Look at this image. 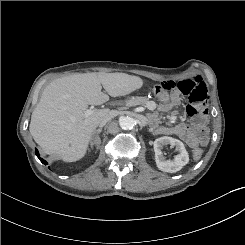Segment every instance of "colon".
Here are the masks:
<instances>
[{
  "mask_svg": "<svg viewBox=\"0 0 245 245\" xmlns=\"http://www.w3.org/2000/svg\"><path fill=\"white\" fill-rule=\"evenodd\" d=\"M164 82H161L160 84L154 87V93L161 101L166 102L169 99V92L164 91L163 89ZM202 155H203V150L201 148L197 147L193 149L192 156L195 160H199L202 157Z\"/></svg>",
  "mask_w": 245,
  "mask_h": 245,
  "instance_id": "1",
  "label": "colon"
}]
</instances>
